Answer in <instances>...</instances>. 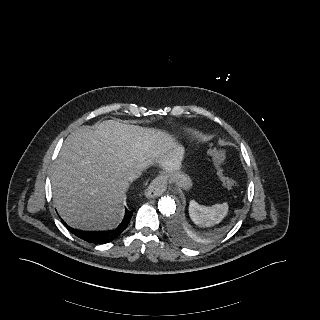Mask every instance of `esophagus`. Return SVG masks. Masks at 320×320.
Returning a JSON list of instances; mask_svg holds the SVG:
<instances>
[{"label": "esophagus", "instance_id": "34e87169", "mask_svg": "<svg viewBox=\"0 0 320 320\" xmlns=\"http://www.w3.org/2000/svg\"><path fill=\"white\" fill-rule=\"evenodd\" d=\"M167 188V181L163 176L156 177L145 190L147 198L159 197Z\"/></svg>", "mask_w": 320, "mask_h": 320}]
</instances>
